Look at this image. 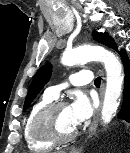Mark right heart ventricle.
I'll list each match as a JSON object with an SVG mask.
<instances>
[{"mask_svg":"<svg viewBox=\"0 0 130 153\" xmlns=\"http://www.w3.org/2000/svg\"><path fill=\"white\" fill-rule=\"evenodd\" d=\"M55 98L45 93L30 109L23 124V138L27 147L33 151L46 152L54 148L55 143L37 136L32 130V122L37 112Z\"/></svg>","mask_w":130,"mask_h":153,"instance_id":"obj_1","label":"right heart ventricle"}]
</instances>
